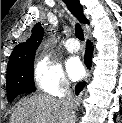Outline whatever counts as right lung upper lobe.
Returning <instances> with one entry per match:
<instances>
[{"label":"right lung upper lobe","instance_id":"1","mask_svg":"<svg viewBox=\"0 0 122 123\" xmlns=\"http://www.w3.org/2000/svg\"><path fill=\"white\" fill-rule=\"evenodd\" d=\"M67 6L81 23H89L83 14V7L79 0H65ZM44 30L40 23L32 28L31 37L24 43L17 45L11 53L7 70L14 68L24 61L34 58L36 49L42 41Z\"/></svg>","mask_w":122,"mask_h":123}]
</instances>
